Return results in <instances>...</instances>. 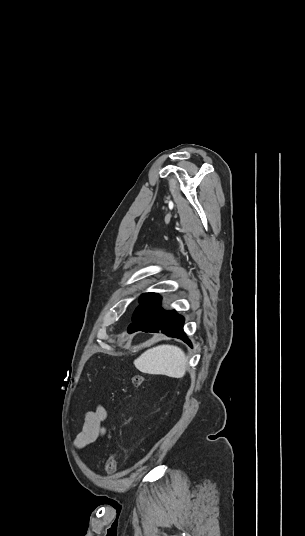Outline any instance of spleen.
Segmentation results:
<instances>
[{
  "instance_id": "obj_1",
  "label": "spleen",
  "mask_w": 305,
  "mask_h": 536,
  "mask_svg": "<svg viewBox=\"0 0 305 536\" xmlns=\"http://www.w3.org/2000/svg\"><path fill=\"white\" fill-rule=\"evenodd\" d=\"M133 364L143 374L183 378L187 370L188 358L177 346H156L141 354Z\"/></svg>"
}]
</instances>
